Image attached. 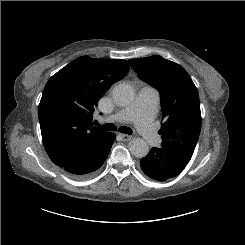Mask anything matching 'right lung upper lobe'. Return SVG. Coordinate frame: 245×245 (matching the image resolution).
Instances as JSON below:
<instances>
[{
	"label": "right lung upper lobe",
	"instance_id": "right-lung-upper-lobe-1",
	"mask_svg": "<svg viewBox=\"0 0 245 245\" xmlns=\"http://www.w3.org/2000/svg\"><path fill=\"white\" fill-rule=\"evenodd\" d=\"M128 62L82 56L47 82L38 114L45 149L56 165L75 160L105 131L92 124L98 100L124 78Z\"/></svg>",
	"mask_w": 245,
	"mask_h": 245
}]
</instances>
